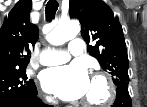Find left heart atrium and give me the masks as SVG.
Listing matches in <instances>:
<instances>
[{
	"mask_svg": "<svg viewBox=\"0 0 147 107\" xmlns=\"http://www.w3.org/2000/svg\"><path fill=\"white\" fill-rule=\"evenodd\" d=\"M42 84L47 92L63 100H76L85 96L90 79L84 66L72 64L46 70Z\"/></svg>",
	"mask_w": 147,
	"mask_h": 107,
	"instance_id": "1",
	"label": "left heart atrium"
}]
</instances>
